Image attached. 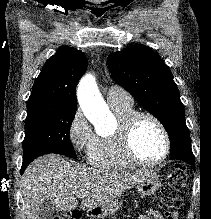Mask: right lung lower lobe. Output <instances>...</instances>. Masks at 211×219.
<instances>
[{
	"label": "right lung lower lobe",
	"mask_w": 211,
	"mask_h": 219,
	"mask_svg": "<svg viewBox=\"0 0 211 219\" xmlns=\"http://www.w3.org/2000/svg\"><path fill=\"white\" fill-rule=\"evenodd\" d=\"M31 161H26L23 162L22 167H21V174L24 172L25 168L29 165Z\"/></svg>",
	"instance_id": "right-lung-lower-lobe-1"
}]
</instances>
